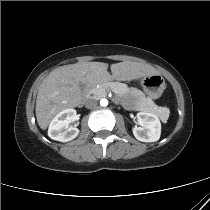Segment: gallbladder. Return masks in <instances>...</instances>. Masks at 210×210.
Masks as SVG:
<instances>
[{
    "label": "gallbladder",
    "instance_id": "obj_1",
    "mask_svg": "<svg viewBox=\"0 0 210 210\" xmlns=\"http://www.w3.org/2000/svg\"><path fill=\"white\" fill-rule=\"evenodd\" d=\"M79 86H80L81 90H85V88H86V86L83 83H80Z\"/></svg>",
    "mask_w": 210,
    "mask_h": 210
}]
</instances>
